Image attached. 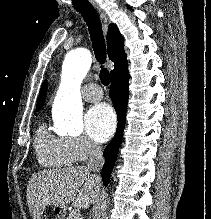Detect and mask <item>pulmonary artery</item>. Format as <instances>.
I'll return each mask as SVG.
<instances>
[{"label":"pulmonary artery","instance_id":"obj_1","mask_svg":"<svg viewBox=\"0 0 211 219\" xmlns=\"http://www.w3.org/2000/svg\"><path fill=\"white\" fill-rule=\"evenodd\" d=\"M103 97V91L99 85L90 83L85 86L83 98L89 102H96Z\"/></svg>","mask_w":211,"mask_h":219}]
</instances>
